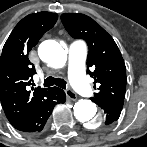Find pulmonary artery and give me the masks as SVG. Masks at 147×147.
Here are the masks:
<instances>
[{
	"mask_svg": "<svg viewBox=\"0 0 147 147\" xmlns=\"http://www.w3.org/2000/svg\"><path fill=\"white\" fill-rule=\"evenodd\" d=\"M86 48L82 42H73L69 48V75L75 90L82 96H88L91 87L83 74Z\"/></svg>",
	"mask_w": 147,
	"mask_h": 147,
	"instance_id": "obj_1",
	"label": "pulmonary artery"
}]
</instances>
